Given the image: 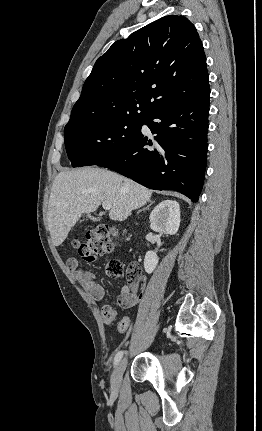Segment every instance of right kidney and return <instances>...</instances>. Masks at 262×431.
<instances>
[{
    "label": "right kidney",
    "instance_id": "obj_1",
    "mask_svg": "<svg viewBox=\"0 0 262 431\" xmlns=\"http://www.w3.org/2000/svg\"><path fill=\"white\" fill-rule=\"evenodd\" d=\"M149 219L152 230L170 235L176 234L181 221L179 203L175 200H164L152 210ZM158 261L157 254L153 251H148L144 259L145 271L151 274L155 270Z\"/></svg>",
    "mask_w": 262,
    "mask_h": 431
}]
</instances>
